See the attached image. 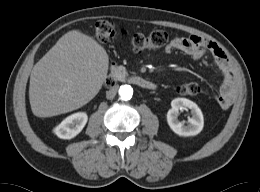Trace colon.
Segmentation results:
<instances>
[{"mask_svg":"<svg viewBox=\"0 0 260 192\" xmlns=\"http://www.w3.org/2000/svg\"><path fill=\"white\" fill-rule=\"evenodd\" d=\"M117 30L115 25L108 20H99L95 24L96 38L102 42L107 43L115 37ZM169 42V35L163 30H156L149 35L134 34L130 38V43L135 50L143 49H159L166 46ZM107 86L113 85V80L109 78L106 82ZM178 91L183 95H195L200 91L197 83H186L178 87Z\"/></svg>","mask_w":260,"mask_h":192,"instance_id":"colon-1","label":"colon"}]
</instances>
